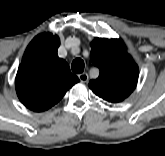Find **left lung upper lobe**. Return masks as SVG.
<instances>
[{
	"mask_svg": "<svg viewBox=\"0 0 165 156\" xmlns=\"http://www.w3.org/2000/svg\"><path fill=\"white\" fill-rule=\"evenodd\" d=\"M91 46V60L100 74L89 82L90 89L108 102L123 101L137 85L138 66L120 39L95 38Z\"/></svg>",
	"mask_w": 165,
	"mask_h": 156,
	"instance_id": "1",
	"label": "left lung upper lobe"
}]
</instances>
